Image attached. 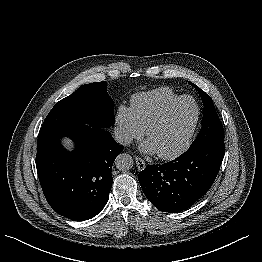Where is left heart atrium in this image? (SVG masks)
Instances as JSON below:
<instances>
[{
    "label": "left heart atrium",
    "mask_w": 262,
    "mask_h": 262,
    "mask_svg": "<svg viewBox=\"0 0 262 262\" xmlns=\"http://www.w3.org/2000/svg\"><path fill=\"white\" fill-rule=\"evenodd\" d=\"M141 151L146 154H155L157 149L150 139L146 140L140 147Z\"/></svg>",
    "instance_id": "left-heart-atrium-1"
}]
</instances>
